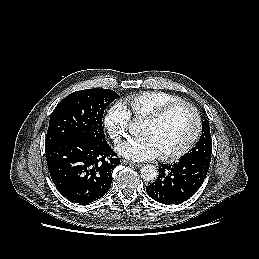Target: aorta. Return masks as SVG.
<instances>
[{
	"label": "aorta",
	"instance_id": "aorta-1",
	"mask_svg": "<svg viewBox=\"0 0 259 259\" xmlns=\"http://www.w3.org/2000/svg\"><path fill=\"white\" fill-rule=\"evenodd\" d=\"M129 128L131 133H135L136 131L135 125L130 124ZM140 175H141V178L145 181H153L158 176V170L155 166L147 164L141 168Z\"/></svg>",
	"mask_w": 259,
	"mask_h": 259
}]
</instances>
